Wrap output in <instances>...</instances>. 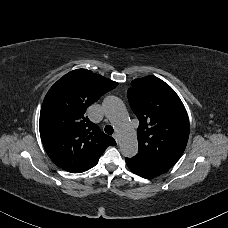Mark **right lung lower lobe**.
Returning a JSON list of instances; mask_svg holds the SVG:
<instances>
[{
	"mask_svg": "<svg viewBox=\"0 0 228 228\" xmlns=\"http://www.w3.org/2000/svg\"><path fill=\"white\" fill-rule=\"evenodd\" d=\"M97 162H98V161L92 163L90 166H88L87 168H85L84 170H82V171H80V172H84V171H86V170L92 168L93 166H95V165L97 164Z\"/></svg>",
	"mask_w": 228,
	"mask_h": 228,
	"instance_id": "98d812e1",
	"label": "right lung lower lobe"
}]
</instances>
